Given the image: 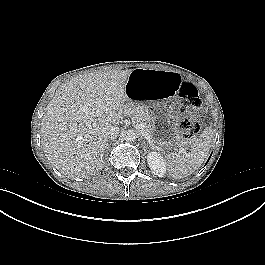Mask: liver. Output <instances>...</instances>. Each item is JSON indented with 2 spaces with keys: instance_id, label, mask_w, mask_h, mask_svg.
Returning a JSON list of instances; mask_svg holds the SVG:
<instances>
[{
  "instance_id": "liver-1",
  "label": "liver",
  "mask_w": 265,
  "mask_h": 265,
  "mask_svg": "<svg viewBox=\"0 0 265 265\" xmlns=\"http://www.w3.org/2000/svg\"><path fill=\"white\" fill-rule=\"evenodd\" d=\"M131 72H96L73 78L47 105L41 126L43 151L66 177L86 178L103 169L106 145L101 130L122 119Z\"/></svg>"
}]
</instances>
